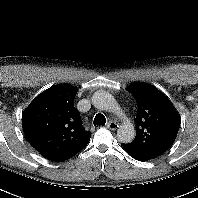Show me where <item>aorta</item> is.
Segmentation results:
<instances>
[{
    "label": "aorta",
    "instance_id": "obj_1",
    "mask_svg": "<svg viewBox=\"0 0 198 198\" xmlns=\"http://www.w3.org/2000/svg\"><path fill=\"white\" fill-rule=\"evenodd\" d=\"M93 105L100 110L115 111L117 110V104L114 97L104 91L96 92L92 97ZM117 137L122 143H130L135 137L134 126L125 122L117 131Z\"/></svg>",
    "mask_w": 198,
    "mask_h": 198
}]
</instances>
